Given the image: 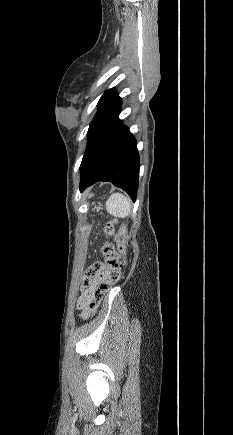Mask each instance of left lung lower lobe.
Returning a JSON list of instances; mask_svg holds the SVG:
<instances>
[{
  "instance_id": "0a47b994",
  "label": "left lung lower lobe",
  "mask_w": 233,
  "mask_h": 435,
  "mask_svg": "<svg viewBox=\"0 0 233 435\" xmlns=\"http://www.w3.org/2000/svg\"><path fill=\"white\" fill-rule=\"evenodd\" d=\"M139 167L136 140L117 119L105 126L87 146L80 165V190L98 181H108L125 190L135 201Z\"/></svg>"
}]
</instances>
